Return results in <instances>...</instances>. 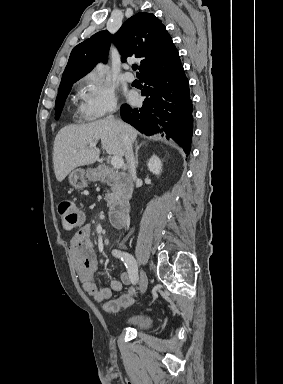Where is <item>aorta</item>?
I'll use <instances>...</instances> for the list:
<instances>
[{"instance_id": "762f6f07", "label": "aorta", "mask_w": 283, "mask_h": 384, "mask_svg": "<svg viewBox=\"0 0 283 384\" xmlns=\"http://www.w3.org/2000/svg\"><path fill=\"white\" fill-rule=\"evenodd\" d=\"M96 73L99 75V76H102L104 73H105V67L103 65H98L96 67Z\"/></svg>"}]
</instances>
